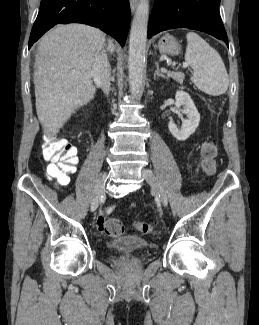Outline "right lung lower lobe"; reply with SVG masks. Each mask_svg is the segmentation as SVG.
I'll list each match as a JSON object with an SVG mask.
<instances>
[{
	"label": "right lung lower lobe",
	"mask_w": 259,
	"mask_h": 325,
	"mask_svg": "<svg viewBox=\"0 0 259 325\" xmlns=\"http://www.w3.org/2000/svg\"><path fill=\"white\" fill-rule=\"evenodd\" d=\"M82 23L100 28L124 46L129 24V0H41L29 48L56 24Z\"/></svg>",
	"instance_id": "obj_1"
}]
</instances>
